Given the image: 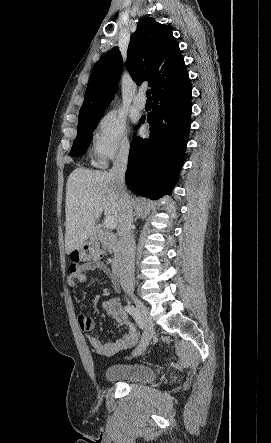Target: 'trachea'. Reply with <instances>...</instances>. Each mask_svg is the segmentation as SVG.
Masks as SVG:
<instances>
[{"label":"trachea","instance_id":"obj_1","mask_svg":"<svg viewBox=\"0 0 271 443\" xmlns=\"http://www.w3.org/2000/svg\"><path fill=\"white\" fill-rule=\"evenodd\" d=\"M147 98L148 100H151V90H147Z\"/></svg>","mask_w":271,"mask_h":443}]
</instances>
